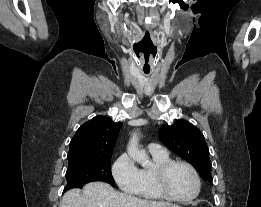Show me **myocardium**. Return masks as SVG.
I'll list each match as a JSON object with an SVG mask.
<instances>
[{
    "label": "myocardium",
    "mask_w": 261,
    "mask_h": 207,
    "mask_svg": "<svg viewBox=\"0 0 261 207\" xmlns=\"http://www.w3.org/2000/svg\"><path fill=\"white\" fill-rule=\"evenodd\" d=\"M175 165H183L185 166L193 175V178L195 180V192L186 198H179L171 194L167 187V175L170 169ZM154 180L157 187V190L162 195L163 198L177 202V203H188L196 199L201 191V180L200 176L195 169V167L190 164L187 161L179 160V159H170L162 164H160L158 167H156L154 171Z\"/></svg>",
    "instance_id": "myocardium-1"
}]
</instances>
